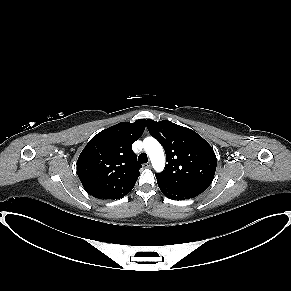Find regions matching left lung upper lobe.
Listing matches in <instances>:
<instances>
[{
	"instance_id": "left-lung-upper-lobe-1",
	"label": "left lung upper lobe",
	"mask_w": 291,
	"mask_h": 291,
	"mask_svg": "<svg viewBox=\"0 0 291 291\" xmlns=\"http://www.w3.org/2000/svg\"><path fill=\"white\" fill-rule=\"evenodd\" d=\"M147 128L164 147L168 162L156 178L195 195L205 191L213 181L217 164L209 143L195 131L167 120H147Z\"/></svg>"
}]
</instances>
